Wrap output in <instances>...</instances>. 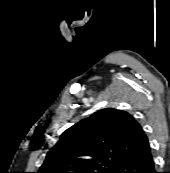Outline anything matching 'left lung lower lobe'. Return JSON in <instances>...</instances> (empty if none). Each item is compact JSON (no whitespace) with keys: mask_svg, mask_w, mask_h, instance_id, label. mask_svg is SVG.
<instances>
[{"mask_svg":"<svg viewBox=\"0 0 170 173\" xmlns=\"http://www.w3.org/2000/svg\"><path fill=\"white\" fill-rule=\"evenodd\" d=\"M114 173H156L150 146L141 153L129 156Z\"/></svg>","mask_w":170,"mask_h":173,"instance_id":"left-lung-lower-lobe-1","label":"left lung lower lobe"}]
</instances>
